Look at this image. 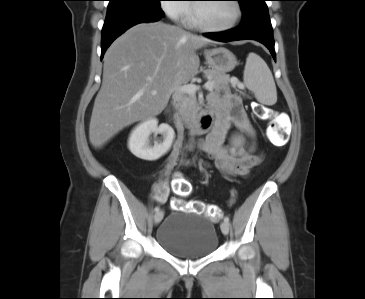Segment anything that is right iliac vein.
<instances>
[{"mask_svg": "<svg viewBox=\"0 0 365 299\" xmlns=\"http://www.w3.org/2000/svg\"><path fill=\"white\" fill-rule=\"evenodd\" d=\"M164 216V212L162 210H159L158 212H156V214L154 215V223L155 224H159Z\"/></svg>", "mask_w": 365, "mask_h": 299, "instance_id": "1", "label": "right iliac vein"}]
</instances>
